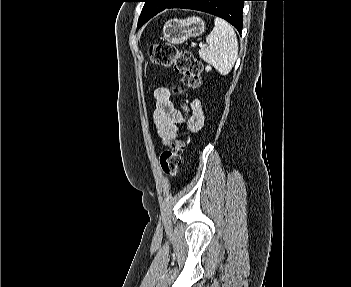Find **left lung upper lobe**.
<instances>
[{"label":"left lung upper lobe","mask_w":351,"mask_h":287,"mask_svg":"<svg viewBox=\"0 0 351 287\" xmlns=\"http://www.w3.org/2000/svg\"><path fill=\"white\" fill-rule=\"evenodd\" d=\"M145 2L138 21V27L142 26L149 19L166 9L175 0H143Z\"/></svg>","instance_id":"left-lung-upper-lobe-1"}]
</instances>
